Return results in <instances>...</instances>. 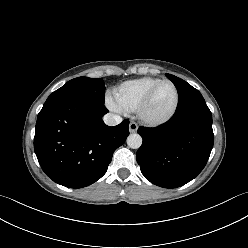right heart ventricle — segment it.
<instances>
[{
  "instance_id": "1",
  "label": "right heart ventricle",
  "mask_w": 248,
  "mask_h": 248,
  "mask_svg": "<svg viewBox=\"0 0 248 248\" xmlns=\"http://www.w3.org/2000/svg\"><path fill=\"white\" fill-rule=\"evenodd\" d=\"M159 81L158 78L142 77L123 82L112 90V101L119 110L133 112L145 93Z\"/></svg>"
}]
</instances>
